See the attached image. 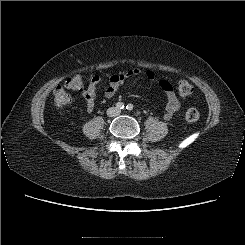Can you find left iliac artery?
Returning <instances> with one entry per match:
<instances>
[{"instance_id":"44dca946","label":"left iliac artery","mask_w":245,"mask_h":245,"mask_svg":"<svg viewBox=\"0 0 245 245\" xmlns=\"http://www.w3.org/2000/svg\"><path fill=\"white\" fill-rule=\"evenodd\" d=\"M126 109H127L128 111L133 110V105H132V104H128V105L126 106Z\"/></svg>"}]
</instances>
